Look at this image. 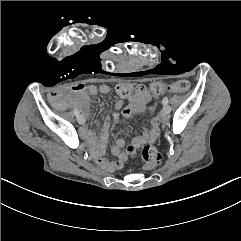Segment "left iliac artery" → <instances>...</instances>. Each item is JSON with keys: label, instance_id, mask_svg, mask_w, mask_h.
Wrapping results in <instances>:
<instances>
[{"label": "left iliac artery", "instance_id": "1", "mask_svg": "<svg viewBox=\"0 0 241 241\" xmlns=\"http://www.w3.org/2000/svg\"><path fill=\"white\" fill-rule=\"evenodd\" d=\"M168 101H169L168 97H164L162 100V103L165 105L168 103Z\"/></svg>", "mask_w": 241, "mask_h": 241}]
</instances>
